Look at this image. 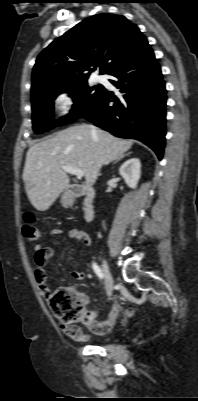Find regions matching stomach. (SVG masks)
Returning <instances> with one entry per match:
<instances>
[{"label": "stomach", "instance_id": "stomach-1", "mask_svg": "<svg viewBox=\"0 0 198 401\" xmlns=\"http://www.w3.org/2000/svg\"><path fill=\"white\" fill-rule=\"evenodd\" d=\"M72 203H73V201H72V199H71L68 195H66V194H63V195H62V197H61V204H62L64 207H68V206L72 205Z\"/></svg>", "mask_w": 198, "mask_h": 401}]
</instances>
